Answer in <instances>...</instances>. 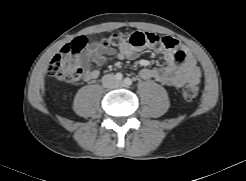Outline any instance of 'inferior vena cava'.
Here are the masks:
<instances>
[{
	"instance_id": "obj_1",
	"label": "inferior vena cava",
	"mask_w": 246,
	"mask_h": 181,
	"mask_svg": "<svg viewBox=\"0 0 246 181\" xmlns=\"http://www.w3.org/2000/svg\"><path fill=\"white\" fill-rule=\"evenodd\" d=\"M102 84L105 88H114L117 85V80L113 74H106L102 77Z\"/></svg>"
}]
</instances>
